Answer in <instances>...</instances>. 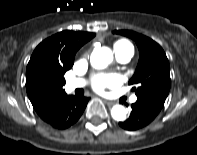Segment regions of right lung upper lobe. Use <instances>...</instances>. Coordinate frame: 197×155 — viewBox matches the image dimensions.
Returning a JSON list of instances; mask_svg holds the SVG:
<instances>
[{"label": "right lung upper lobe", "mask_w": 197, "mask_h": 155, "mask_svg": "<svg viewBox=\"0 0 197 155\" xmlns=\"http://www.w3.org/2000/svg\"><path fill=\"white\" fill-rule=\"evenodd\" d=\"M94 36V33L65 30L35 48L26 69V91L44 121L67 96L62 88L63 75L72 67L76 52Z\"/></svg>", "instance_id": "obj_1"}]
</instances>
